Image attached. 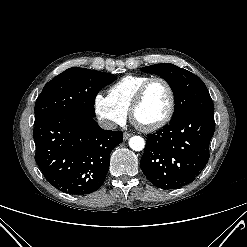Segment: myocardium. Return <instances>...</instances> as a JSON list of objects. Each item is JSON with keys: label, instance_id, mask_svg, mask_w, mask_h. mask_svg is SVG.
<instances>
[{"label": "myocardium", "instance_id": "obj_1", "mask_svg": "<svg viewBox=\"0 0 247 247\" xmlns=\"http://www.w3.org/2000/svg\"><path fill=\"white\" fill-rule=\"evenodd\" d=\"M154 82H161L165 85L169 93L170 103L167 113L161 120L151 125L141 126L145 131H155L168 124L174 115L175 107H176V94L171 83L164 77L154 76V77H150L147 81H145L136 92L129 109L131 117L135 119V113L137 108L143 102L149 87Z\"/></svg>", "mask_w": 247, "mask_h": 247}]
</instances>
